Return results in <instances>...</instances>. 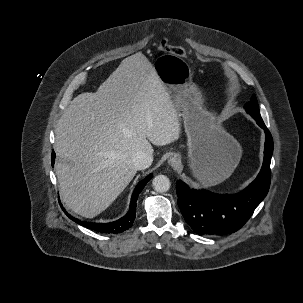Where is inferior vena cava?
<instances>
[{"instance_id":"602c4592","label":"inferior vena cava","mask_w":303,"mask_h":303,"mask_svg":"<svg viewBox=\"0 0 303 303\" xmlns=\"http://www.w3.org/2000/svg\"><path fill=\"white\" fill-rule=\"evenodd\" d=\"M153 161V157L143 151L138 152L132 157V163L137 170H143L148 168Z\"/></svg>"}]
</instances>
